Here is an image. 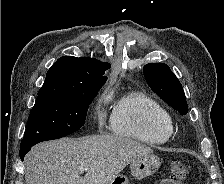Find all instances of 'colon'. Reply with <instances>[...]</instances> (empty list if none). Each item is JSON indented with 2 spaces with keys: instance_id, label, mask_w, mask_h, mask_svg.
I'll return each mask as SVG.
<instances>
[{
  "instance_id": "5ec220e1",
  "label": "colon",
  "mask_w": 224,
  "mask_h": 184,
  "mask_svg": "<svg viewBox=\"0 0 224 184\" xmlns=\"http://www.w3.org/2000/svg\"><path fill=\"white\" fill-rule=\"evenodd\" d=\"M190 165L183 161H173L169 173L162 178L160 184H181L190 173Z\"/></svg>"
}]
</instances>
